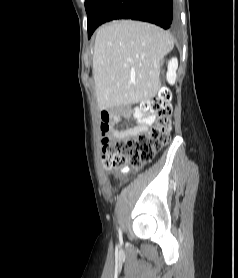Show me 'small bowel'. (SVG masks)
Returning <instances> with one entry per match:
<instances>
[{
  "mask_svg": "<svg viewBox=\"0 0 238 278\" xmlns=\"http://www.w3.org/2000/svg\"><path fill=\"white\" fill-rule=\"evenodd\" d=\"M132 117L137 121V125L133 128H130L128 130H121L115 126V123H117L120 120V115L111 113L109 111H103L101 113V124L106 123L108 124L109 128L107 131L103 132L105 133H111L112 135L123 132V131H136L139 129H145L147 126L153 123L155 116L152 113H144L140 108H135L132 112Z\"/></svg>",
  "mask_w": 238,
  "mask_h": 278,
  "instance_id": "1",
  "label": "small bowel"
}]
</instances>
